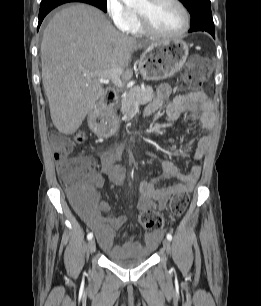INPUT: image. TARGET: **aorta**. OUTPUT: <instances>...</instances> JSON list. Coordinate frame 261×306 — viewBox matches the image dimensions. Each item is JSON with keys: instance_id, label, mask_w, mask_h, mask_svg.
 Masks as SVG:
<instances>
[{"instance_id": "aorta-1", "label": "aorta", "mask_w": 261, "mask_h": 306, "mask_svg": "<svg viewBox=\"0 0 261 306\" xmlns=\"http://www.w3.org/2000/svg\"><path fill=\"white\" fill-rule=\"evenodd\" d=\"M127 6L133 7L140 4L143 0H122Z\"/></svg>"}]
</instances>
